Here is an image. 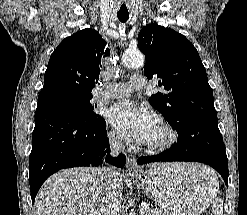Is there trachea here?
<instances>
[{"instance_id":"obj_1","label":"trachea","mask_w":247,"mask_h":215,"mask_svg":"<svg viewBox=\"0 0 247 215\" xmlns=\"http://www.w3.org/2000/svg\"><path fill=\"white\" fill-rule=\"evenodd\" d=\"M117 17L121 22H126L129 18L128 12H119L117 13Z\"/></svg>"}]
</instances>
